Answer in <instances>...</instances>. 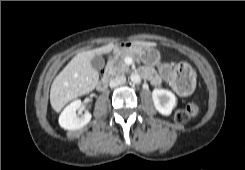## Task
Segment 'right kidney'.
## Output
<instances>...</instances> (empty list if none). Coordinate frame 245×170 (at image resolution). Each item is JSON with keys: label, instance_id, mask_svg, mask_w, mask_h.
<instances>
[{"label": "right kidney", "instance_id": "obj_1", "mask_svg": "<svg viewBox=\"0 0 245 170\" xmlns=\"http://www.w3.org/2000/svg\"><path fill=\"white\" fill-rule=\"evenodd\" d=\"M82 106L81 100L71 102L59 116V125L66 130H76L84 127L91 120V113L86 111L81 117L77 116L76 111Z\"/></svg>", "mask_w": 245, "mask_h": 170}]
</instances>
